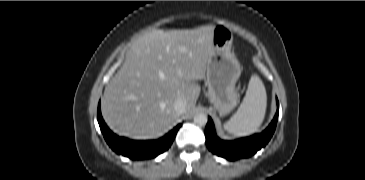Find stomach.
Returning <instances> with one entry per match:
<instances>
[{
	"label": "stomach",
	"instance_id": "obj_1",
	"mask_svg": "<svg viewBox=\"0 0 365 180\" xmlns=\"http://www.w3.org/2000/svg\"><path fill=\"white\" fill-rule=\"evenodd\" d=\"M233 34L229 27L213 28V49L207 63L208 100L221 116L228 114L238 102L235 84L241 75L238 59L232 53Z\"/></svg>",
	"mask_w": 365,
	"mask_h": 180
}]
</instances>
